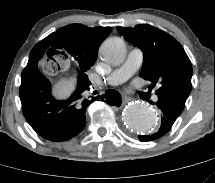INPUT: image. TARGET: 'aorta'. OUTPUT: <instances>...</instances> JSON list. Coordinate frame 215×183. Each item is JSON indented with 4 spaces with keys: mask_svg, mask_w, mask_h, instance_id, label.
Returning <instances> with one entry per match:
<instances>
[{
    "mask_svg": "<svg viewBox=\"0 0 215 183\" xmlns=\"http://www.w3.org/2000/svg\"><path fill=\"white\" fill-rule=\"evenodd\" d=\"M126 54L124 41L118 37L105 40L100 47V55L109 64L118 65ZM125 125L134 132L148 134L154 132L159 125V118L153 108L144 103L135 102L123 111Z\"/></svg>",
    "mask_w": 215,
    "mask_h": 183,
    "instance_id": "obj_1",
    "label": "aorta"
}]
</instances>
